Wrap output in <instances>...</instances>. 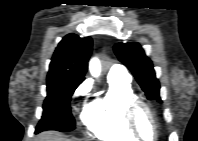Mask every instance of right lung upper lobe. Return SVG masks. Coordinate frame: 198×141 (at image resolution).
Segmentation results:
<instances>
[{"instance_id":"right-lung-upper-lobe-1","label":"right lung upper lobe","mask_w":198,"mask_h":141,"mask_svg":"<svg viewBox=\"0 0 198 141\" xmlns=\"http://www.w3.org/2000/svg\"><path fill=\"white\" fill-rule=\"evenodd\" d=\"M92 51L91 37L66 35L56 48L47 76L48 81L84 80Z\"/></svg>"}]
</instances>
